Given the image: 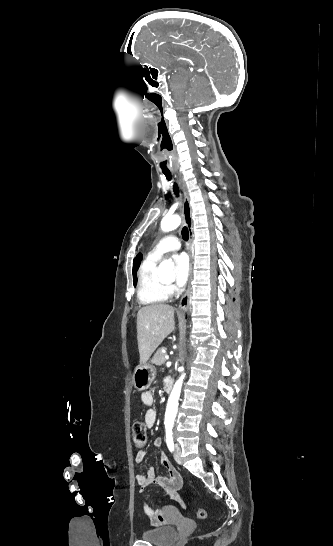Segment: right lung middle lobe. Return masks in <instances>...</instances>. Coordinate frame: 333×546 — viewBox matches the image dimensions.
Returning <instances> with one entry per match:
<instances>
[{
	"mask_svg": "<svg viewBox=\"0 0 333 546\" xmlns=\"http://www.w3.org/2000/svg\"><path fill=\"white\" fill-rule=\"evenodd\" d=\"M137 269H138V264H133V278L135 276V273H136ZM135 285H136V282L134 281V286Z\"/></svg>",
	"mask_w": 333,
	"mask_h": 546,
	"instance_id": "right-lung-middle-lobe-1",
	"label": "right lung middle lobe"
}]
</instances>
